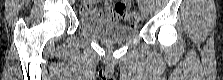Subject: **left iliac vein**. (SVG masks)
I'll use <instances>...</instances> for the list:
<instances>
[{
	"label": "left iliac vein",
	"instance_id": "obj_1",
	"mask_svg": "<svg viewBox=\"0 0 223 80\" xmlns=\"http://www.w3.org/2000/svg\"><path fill=\"white\" fill-rule=\"evenodd\" d=\"M140 11H141V14L143 15L144 18H146L148 16V6L146 3H142L140 5Z\"/></svg>",
	"mask_w": 223,
	"mask_h": 80
}]
</instances>
